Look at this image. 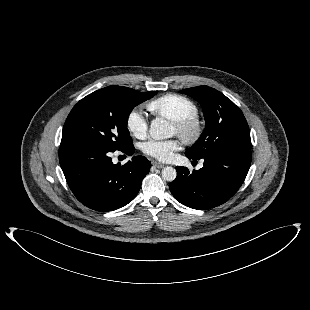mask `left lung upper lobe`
I'll use <instances>...</instances> for the list:
<instances>
[{
    "label": "left lung upper lobe",
    "mask_w": 310,
    "mask_h": 310,
    "mask_svg": "<svg viewBox=\"0 0 310 310\" xmlns=\"http://www.w3.org/2000/svg\"><path fill=\"white\" fill-rule=\"evenodd\" d=\"M202 106L206 128L199 140L185 154L203 159L222 151H250L251 138L242 111L225 95L208 86L181 90Z\"/></svg>",
    "instance_id": "5c2ea615"
}]
</instances>
